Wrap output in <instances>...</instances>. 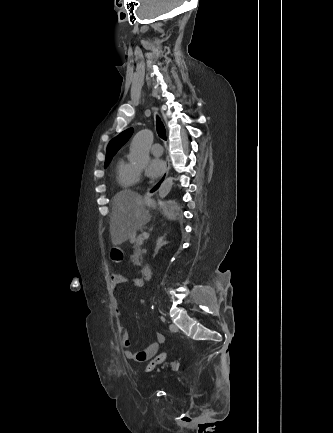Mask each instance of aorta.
I'll return each instance as SVG.
<instances>
[{"mask_svg":"<svg viewBox=\"0 0 333 433\" xmlns=\"http://www.w3.org/2000/svg\"><path fill=\"white\" fill-rule=\"evenodd\" d=\"M153 134L150 130L139 131L130 145V160L138 167H146L150 162L149 150ZM173 185V178H167L159 188V197L165 198Z\"/></svg>","mask_w":333,"mask_h":433,"instance_id":"1","label":"aorta"}]
</instances>
